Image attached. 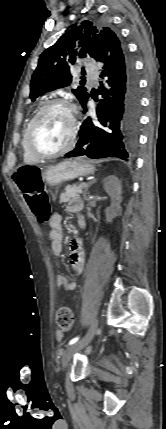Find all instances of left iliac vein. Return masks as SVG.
Listing matches in <instances>:
<instances>
[{"label":"left iliac vein","mask_w":166,"mask_h":429,"mask_svg":"<svg viewBox=\"0 0 166 429\" xmlns=\"http://www.w3.org/2000/svg\"><path fill=\"white\" fill-rule=\"evenodd\" d=\"M97 326H98V319L95 318L93 320V322H92V324H91V326H90L87 334L85 335V337L82 340H80V341H78V342H76V343L68 346L64 350L62 358H61V364H62V369L63 370L67 367V365L70 362V360H71L72 356L74 355V353H76L77 351L83 349L85 346H87L91 342V340L93 339V337H94V335L96 333Z\"/></svg>","instance_id":"obj_1"}]
</instances>
